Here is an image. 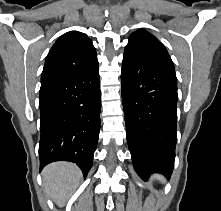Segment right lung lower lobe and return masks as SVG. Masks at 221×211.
<instances>
[{
  "label": "right lung lower lobe",
  "instance_id": "1",
  "mask_svg": "<svg viewBox=\"0 0 221 211\" xmlns=\"http://www.w3.org/2000/svg\"><path fill=\"white\" fill-rule=\"evenodd\" d=\"M99 81L97 64L41 84L40 170L54 161H70L88 174L100 131Z\"/></svg>",
  "mask_w": 221,
  "mask_h": 211
}]
</instances>
